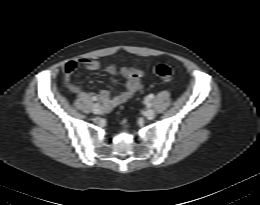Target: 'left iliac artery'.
Segmentation results:
<instances>
[{
    "label": "left iliac artery",
    "instance_id": "left-iliac-artery-1",
    "mask_svg": "<svg viewBox=\"0 0 260 205\" xmlns=\"http://www.w3.org/2000/svg\"><path fill=\"white\" fill-rule=\"evenodd\" d=\"M153 97H154L153 95H149V99H152ZM147 106H148V107H151V106H152V103H151V102H148V103H147Z\"/></svg>",
    "mask_w": 260,
    "mask_h": 205
}]
</instances>
